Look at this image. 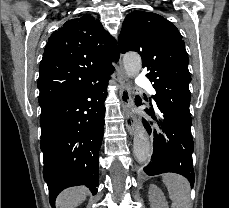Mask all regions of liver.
<instances>
[{"label":"liver","mask_w":229,"mask_h":208,"mask_svg":"<svg viewBox=\"0 0 229 208\" xmlns=\"http://www.w3.org/2000/svg\"><path fill=\"white\" fill-rule=\"evenodd\" d=\"M89 192L84 186H79V188H68L59 194L56 198L55 206L56 208H77L82 202H84L86 196Z\"/></svg>","instance_id":"6515ba94"}]
</instances>
